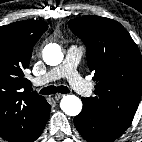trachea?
I'll list each match as a JSON object with an SVG mask.
<instances>
[{
    "mask_svg": "<svg viewBox=\"0 0 142 142\" xmlns=\"http://www.w3.org/2000/svg\"><path fill=\"white\" fill-rule=\"evenodd\" d=\"M56 92L66 94V93H69L70 90L66 86H57V87L56 86H47V87L43 88L42 90H40V94H44V95L54 94Z\"/></svg>",
    "mask_w": 142,
    "mask_h": 142,
    "instance_id": "obj_1",
    "label": "trachea"
}]
</instances>
